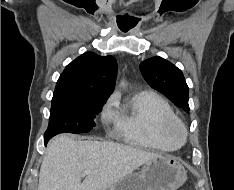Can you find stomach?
Masks as SVG:
<instances>
[{"label":"stomach","mask_w":234,"mask_h":190,"mask_svg":"<svg viewBox=\"0 0 234 190\" xmlns=\"http://www.w3.org/2000/svg\"><path fill=\"white\" fill-rule=\"evenodd\" d=\"M187 172L174 157L159 156L146 162L140 172L130 173L108 190H177Z\"/></svg>","instance_id":"1"}]
</instances>
